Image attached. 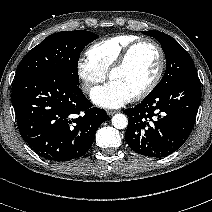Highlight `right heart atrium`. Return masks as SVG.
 <instances>
[{"mask_svg":"<svg viewBox=\"0 0 212 212\" xmlns=\"http://www.w3.org/2000/svg\"><path fill=\"white\" fill-rule=\"evenodd\" d=\"M77 76L81 88L85 93H90L95 86L105 81L107 75L96 67L88 58H79L76 64Z\"/></svg>","mask_w":212,"mask_h":212,"instance_id":"right-heart-atrium-1","label":"right heart atrium"}]
</instances>
